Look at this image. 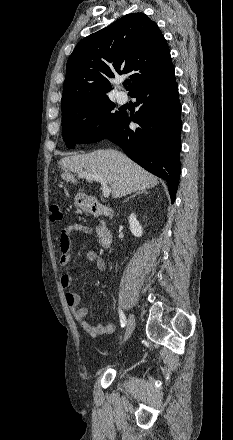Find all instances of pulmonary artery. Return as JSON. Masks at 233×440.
I'll return each instance as SVG.
<instances>
[{"instance_id": "obj_1", "label": "pulmonary artery", "mask_w": 233, "mask_h": 440, "mask_svg": "<svg viewBox=\"0 0 233 440\" xmlns=\"http://www.w3.org/2000/svg\"><path fill=\"white\" fill-rule=\"evenodd\" d=\"M117 99H118L119 103H125L127 101L128 97L125 93L119 92L117 94Z\"/></svg>"}]
</instances>
